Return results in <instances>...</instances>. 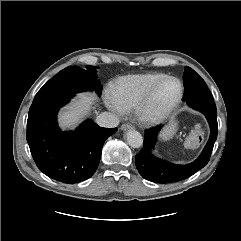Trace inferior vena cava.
Listing matches in <instances>:
<instances>
[{
    "label": "inferior vena cava",
    "instance_id": "602c4592",
    "mask_svg": "<svg viewBox=\"0 0 241 241\" xmlns=\"http://www.w3.org/2000/svg\"><path fill=\"white\" fill-rule=\"evenodd\" d=\"M96 122L101 127L113 128L118 126L119 119L113 113L102 112L97 116Z\"/></svg>",
    "mask_w": 241,
    "mask_h": 241
}]
</instances>
